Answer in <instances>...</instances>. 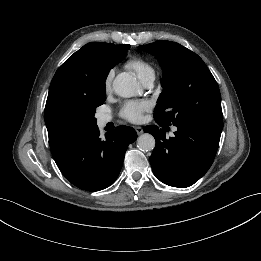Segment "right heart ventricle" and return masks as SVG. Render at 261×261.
Instances as JSON below:
<instances>
[{
    "instance_id": "obj_1",
    "label": "right heart ventricle",
    "mask_w": 261,
    "mask_h": 261,
    "mask_svg": "<svg viewBox=\"0 0 261 261\" xmlns=\"http://www.w3.org/2000/svg\"><path fill=\"white\" fill-rule=\"evenodd\" d=\"M126 67L132 70L142 82L155 77L153 65L145 59L139 57L131 58L126 63Z\"/></svg>"
}]
</instances>
